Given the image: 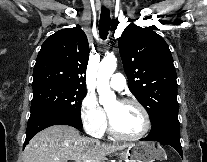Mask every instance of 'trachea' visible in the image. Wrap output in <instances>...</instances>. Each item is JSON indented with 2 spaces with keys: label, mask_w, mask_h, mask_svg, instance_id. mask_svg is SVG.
Instances as JSON below:
<instances>
[{
  "label": "trachea",
  "mask_w": 207,
  "mask_h": 162,
  "mask_svg": "<svg viewBox=\"0 0 207 162\" xmlns=\"http://www.w3.org/2000/svg\"><path fill=\"white\" fill-rule=\"evenodd\" d=\"M110 13L108 12L107 9L104 7L101 10V16H100V21H99V34L100 37L105 40L108 35V31L110 28Z\"/></svg>",
  "instance_id": "1"
}]
</instances>
